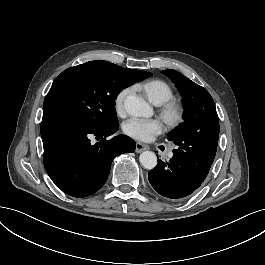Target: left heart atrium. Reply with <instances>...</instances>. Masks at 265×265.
Wrapping results in <instances>:
<instances>
[{
	"label": "left heart atrium",
	"mask_w": 265,
	"mask_h": 265,
	"mask_svg": "<svg viewBox=\"0 0 265 265\" xmlns=\"http://www.w3.org/2000/svg\"><path fill=\"white\" fill-rule=\"evenodd\" d=\"M163 130V125L159 120H143L133 118L124 125V132L129 137L140 140L150 141Z\"/></svg>",
	"instance_id": "39dd6f15"
}]
</instances>
